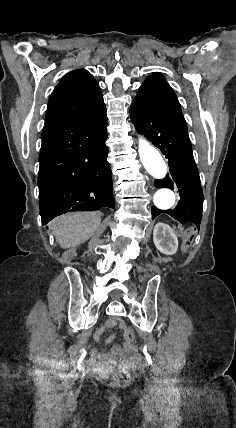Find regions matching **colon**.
I'll return each mask as SVG.
<instances>
[{"label": "colon", "mask_w": 236, "mask_h": 428, "mask_svg": "<svg viewBox=\"0 0 236 428\" xmlns=\"http://www.w3.org/2000/svg\"><path fill=\"white\" fill-rule=\"evenodd\" d=\"M125 340L128 344L133 343L135 336L131 330H126L124 333ZM131 374L129 370L125 367H120L116 369L113 373V380L116 383L123 384L130 380Z\"/></svg>", "instance_id": "colon-1"}]
</instances>
